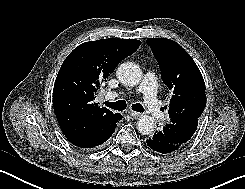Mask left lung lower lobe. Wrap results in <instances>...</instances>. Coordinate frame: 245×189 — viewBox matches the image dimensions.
<instances>
[{"label":"left lung lower lobe","mask_w":245,"mask_h":189,"mask_svg":"<svg viewBox=\"0 0 245 189\" xmlns=\"http://www.w3.org/2000/svg\"><path fill=\"white\" fill-rule=\"evenodd\" d=\"M146 142L152 150L163 154L173 153L184 146V144L172 142L163 130L156 131Z\"/></svg>","instance_id":"0a47b994"}]
</instances>
